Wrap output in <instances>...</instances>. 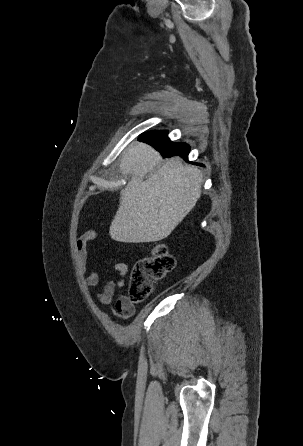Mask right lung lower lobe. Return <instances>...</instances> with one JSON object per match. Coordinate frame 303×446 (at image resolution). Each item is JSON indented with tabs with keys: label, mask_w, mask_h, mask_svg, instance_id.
<instances>
[{
	"label": "right lung lower lobe",
	"mask_w": 303,
	"mask_h": 446,
	"mask_svg": "<svg viewBox=\"0 0 303 446\" xmlns=\"http://www.w3.org/2000/svg\"><path fill=\"white\" fill-rule=\"evenodd\" d=\"M138 140L152 145L164 157L181 156L188 158L190 146L185 143H175L167 137V131H149L139 136Z\"/></svg>",
	"instance_id": "98d812e1"
}]
</instances>
